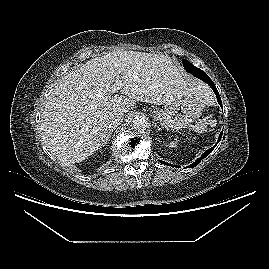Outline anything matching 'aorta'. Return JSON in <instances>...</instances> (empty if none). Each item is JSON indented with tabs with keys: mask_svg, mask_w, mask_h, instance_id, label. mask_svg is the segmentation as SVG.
<instances>
[{
	"mask_svg": "<svg viewBox=\"0 0 269 269\" xmlns=\"http://www.w3.org/2000/svg\"><path fill=\"white\" fill-rule=\"evenodd\" d=\"M148 125L149 121L145 115H135L132 119V126L136 130H145Z\"/></svg>",
	"mask_w": 269,
	"mask_h": 269,
	"instance_id": "obj_1",
	"label": "aorta"
}]
</instances>
